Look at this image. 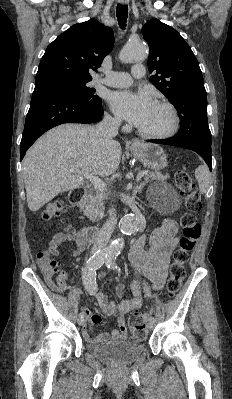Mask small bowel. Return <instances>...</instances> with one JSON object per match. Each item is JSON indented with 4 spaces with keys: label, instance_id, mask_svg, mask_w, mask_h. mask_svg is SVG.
<instances>
[{
    "label": "small bowel",
    "instance_id": "c3829d8e",
    "mask_svg": "<svg viewBox=\"0 0 232 399\" xmlns=\"http://www.w3.org/2000/svg\"><path fill=\"white\" fill-rule=\"evenodd\" d=\"M179 239V231L175 222L166 220L161 225L160 229L153 232L150 236H138L132 241V246L129 252V261L131 265L137 269L142 275L147 276L152 281L154 290L161 291L165 285L167 276L170 254L172 249L177 244ZM149 243L151 249L149 252H143V246ZM85 242H79L77 247L69 250V254L73 258H79L81 251L86 249ZM51 253L58 256L62 253L59 244L53 243L51 245ZM106 271H101L100 276H105ZM142 286L135 282L131 286V294L133 296L131 301L123 300L120 303L116 301H107L103 293H98L97 299L107 315L115 314L118 317L119 330L110 333L93 334V323H99L101 318L99 315L92 313L88 307L83 306L82 312L87 318V322L79 325V332L90 342L91 345H100L103 338H107L112 344H118L128 334V327L125 325V313L138 309L142 306L141 300ZM119 297L125 294L123 285L117 288Z\"/></svg>",
    "mask_w": 232,
    "mask_h": 399
}]
</instances>
